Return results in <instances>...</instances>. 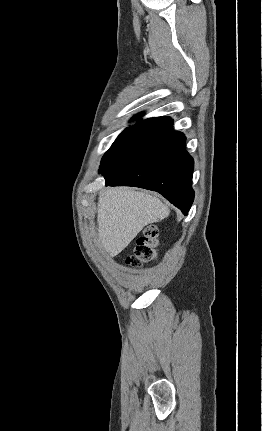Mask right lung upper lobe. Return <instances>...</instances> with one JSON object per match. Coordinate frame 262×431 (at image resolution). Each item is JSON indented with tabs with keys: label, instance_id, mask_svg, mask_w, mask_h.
Returning <instances> with one entry per match:
<instances>
[{
	"label": "right lung upper lobe",
	"instance_id": "1",
	"mask_svg": "<svg viewBox=\"0 0 262 431\" xmlns=\"http://www.w3.org/2000/svg\"><path fill=\"white\" fill-rule=\"evenodd\" d=\"M141 115H142V113H140V114L136 115V116L134 117V119H139ZM139 121H140V120H139Z\"/></svg>",
	"mask_w": 262,
	"mask_h": 431
}]
</instances>
